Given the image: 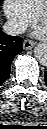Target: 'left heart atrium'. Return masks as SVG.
I'll return each instance as SVG.
<instances>
[{"mask_svg":"<svg viewBox=\"0 0 47 129\" xmlns=\"http://www.w3.org/2000/svg\"><path fill=\"white\" fill-rule=\"evenodd\" d=\"M45 33V30L43 27L41 26H38L35 28V31H34V34L37 35V36H41Z\"/></svg>","mask_w":47,"mask_h":129,"instance_id":"39dd6f15","label":"left heart atrium"}]
</instances>
